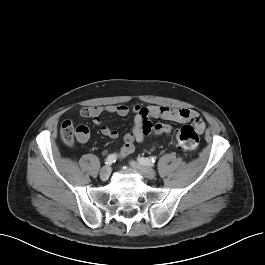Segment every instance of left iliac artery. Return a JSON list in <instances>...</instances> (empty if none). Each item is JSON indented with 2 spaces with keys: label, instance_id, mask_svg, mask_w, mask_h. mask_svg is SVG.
I'll use <instances>...</instances> for the list:
<instances>
[{
  "label": "left iliac artery",
  "instance_id": "1",
  "mask_svg": "<svg viewBox=\"0 0 265 265\" xmlns=\"http://www.w3.org/2000/svg\"><path fill=\"white\" fill-rule=\"evenodd\" d=\"M156 161V157H150V158H144L140 157L138 158V162L145 166H153Z\"/></svg>",
  "mask_w": 265,
  "mask_h": 265
}]
</instances>
